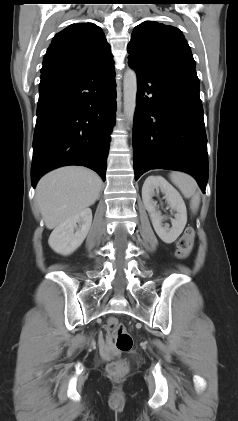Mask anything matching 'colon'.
Wrapping results in <instances>:
<instances>
[{
    "instance_id": "1",
    "label": "colon",
    "mask_w": 238,
    "mask_h": 421,
    "mask_svg": "<svg viewBox=\"0 0 238 421\" xmlns=\"http://www.w3.org/2000/svg\"><path fill=\"white\" fill-rule=\"evenodd\" d=\"M194 230L186 228L177 242L176 256L185 259L191 252L194 241ZM116 348L120 352H129L133 347V339L125 326L115 318H111L107 323ZM127 371V364L123 360H118L108 365V372L112 376H122Z\"/></svg>"
}]
</instances>
